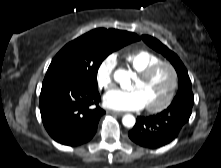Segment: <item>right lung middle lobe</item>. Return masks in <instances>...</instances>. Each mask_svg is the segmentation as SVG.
<instances>
[{
	"mask_svg": "<svg viewBox=\"0 0 221 168\" xmlns=\"http://www.w3.org/2000/svg\"><path fill=\"white\" fill-rule=\"evenodd\" d=\"M137 41L126 31L94 29L66 44L53 58L45 77H64L97 86V71L113 51Z\"/></svg>",
	"mask_w": 221,
	"mask_h": 168,
	"instance_id": "right-lung-middle-lobe-1",
	"label": "right lung middle lobe"
}]
</instances>
